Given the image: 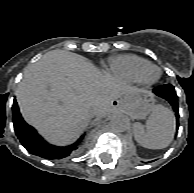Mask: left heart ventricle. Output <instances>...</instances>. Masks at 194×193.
I'll use <instances>...</instances> for the list:
<instances>
[{"mask_svg":"<svg viewBox=\"0 0 194 193\" xmlns=\"http://www.w3.org/2000/svg\"><path fill=\"white\" fill-rule=\"evenodd\" d=\"M157 75V71L155 69H150L148 72H147V77L149 78H153Z\"/></svg>","mask_w":194,"mask_h":193,"instance_id":"left-heart-ventricle-1","label":"left heart ventricle"}]
</instances>
